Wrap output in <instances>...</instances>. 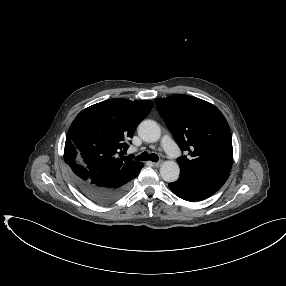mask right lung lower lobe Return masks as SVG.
<instances>
[{
	"mask_svg": "<svg viewBox=\"0 0 286 286\" xmlns=\"http://www.w3.org/2000/svg\"><path fill=\"white\" fill-rule=\"evenodd\" d=\"M75 174V183L78 189L89 199L99 204H109L120 199L128 191L130 181L137 177L143 163L131 175L119 180L108 181L104 186L98 185L92 177L80 166L68 163Z\"/></svg>",
	"mask_w": 286,
	"mask_h": 286,
	"instance_id": "obj_1",
	"label": "right lung lower lobe"
}]
</instances>
